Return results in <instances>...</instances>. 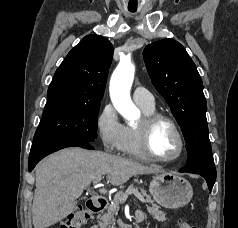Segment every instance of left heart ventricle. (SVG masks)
<instances>
[{"instance_id":"obj_1","label":"left heart ventricle","mask_w":238,"mask_h":228,"mask_svg":"<svg viewBox=\"0 0 238 228\" xmlns=\"http://www.w3.org/2000/svg\"><path fill=\"white\" fill-rule=\"evenodd\" d=\"M151 147L162 158H172L178 153L179 141L168 123L160 122L156 125L151 137Z\"/></svg>"}]
</instances>
